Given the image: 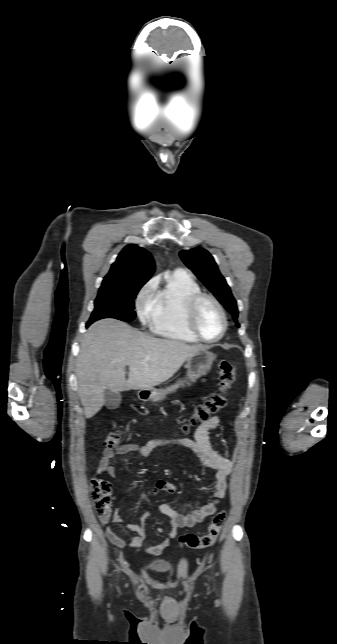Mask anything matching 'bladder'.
Wrapping results in <instances>:
<instances>
[{"mask_svg":"<svg viewBox=\"0 0 337 644\" xmlns=\"http://www.w3.org/2000/svg\"><path fill=\"white\" fill-rule=\"evenodd\" d=\"M146 570L152 573H165L171 569L170 562L166 560H155L145 566Z\"/></svg>","mask_w":337,"mask_h":644,"instance_id":"31cf9c89","label":"bladder"}]
</instances>
